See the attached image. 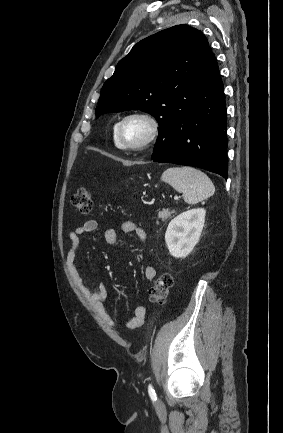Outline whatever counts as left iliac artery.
Returning a JSON list of instances; mask_svg holds the SVG:
<instances>
[{
  "instance_id": "left-iliac-artery-1",
  "label": "left iliac artery",
  "mask_w": 283,
  "mask_h": 433,
  "mask_svg": "<svg viewBox=\"0 0 283 433\" xmlns=\"http://www.w3.org/2000/svg\"><path fill=\"white\" fill-rule=\"evenodd\" d=\"M148 393L152 400H157V395L151 384L148 386Z\"/></svg>"
}]
</instances>
